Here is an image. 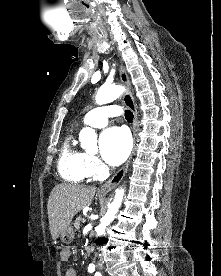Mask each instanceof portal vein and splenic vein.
Masks as SVG:
<instances>
[{
	"mask_svg": "<svg viewBox=\"0 0 221 276\" xmlns=\"http://www.w3.org/2000/svg\"><path fill=\"white\" fill-rule=\"evenodd\" d=\"M82 222H83V223L86 222V219H85V218H82Z\"/></svg>",
	"mask_w": 221,
	"mask_h": 276,
	"instance_id": "1",
	"label": "portal vein and splenic vein"
}]
</instances>
